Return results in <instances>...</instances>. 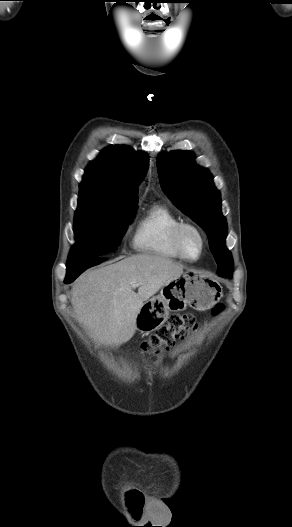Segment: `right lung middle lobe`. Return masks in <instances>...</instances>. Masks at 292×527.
I'll return each instance as SVG.
<instances>
[{
	"instance_id": "dd1d6c3e",
	"label": "right lung middle lobe",
	"mask_w": 292,
	"mask_h": 527,
	"mask_svg": "<svg viewBox=\"0 0 292 527\" xmlns=\"http://www.w3.org/2000/svg\"><path fill=\"white\" fill-rule=\"evenodd\" d=\"M136 206L137 201L112 202L93 193H80L74 219L76 243L68 261L94 259L115 251Z\"/></svg>"
}]
</instances>
